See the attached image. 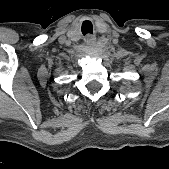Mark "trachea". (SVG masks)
Instances as JSON below:
<instances>
[{
	"mask_svg": "<svg viewBox=\"0 0 169 169\" xmlns=\"http://www.w3.org/2000/svg\"><path fill=\"white\" fill-rule=\"evenodd\" d=\"M81 31L84 36L87 34H92L93 33L92 23L88 20L83 21Z\"/></svg>",
	"mask_w": 169,
	"mask_h": 169,
	"instance_id": "trachea-1",
	"label": "trachea"
}]
</instances>
